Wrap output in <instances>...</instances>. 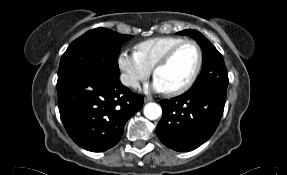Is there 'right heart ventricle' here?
<instances>
[{"instance_id": "e07e8e85", "label": "right heart ventricle", "mask_w": 287, "mask_h": 175, "mask_svg": "<svg viewBox=\"0 0 287 175\" xmlns=\"http://www.w3.org/2000/svg\"><path fill=\"white\" fill-rule=\"evenodd\" d=\"M184 40V38L176 36L155 37L138 43L135 46V51L141 60L152 69L168 50Z\"/></svg>"}]
</instances>
